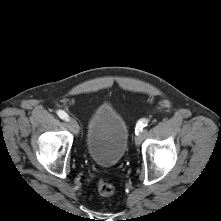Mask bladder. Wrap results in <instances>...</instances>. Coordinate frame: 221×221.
<instances>
[{"mask_svg": "<svg viewBox=\"0 0 221 221\" xmlns=\"http://www.w3.org/2000/svg\"><path fill=\"white\" fill-rule=\"evenodd\" d=\"M129 139L124 117L109 103L97 105L89 118L86 151L97 165L111 167L124 156Z\"/></svg>", "mask_w": 221, "mask_h": 221, "instance_id": "obj_1", "label": "bladder"}]
</instances>
